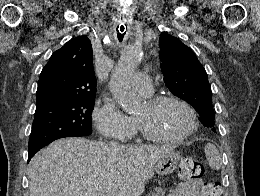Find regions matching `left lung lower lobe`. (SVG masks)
I'll list each match as a JSON object with an SVG mask.
<instances>
[{"instance_id":"1","label":"left lung lower lobe","mask_w":260,"mask_h":196,"mask_svg":"<svg viewBox=\"0 0 260 196\" xmlns=\"http://www.w3.org/2000/svg\"><path fill=\"white\" fill-rule=\"evenodd\" d=\"M200 120L206 126L208 123L211 122L212 117H207V116H203L202 114H200Z\"/></svg>"}]
</instances>
